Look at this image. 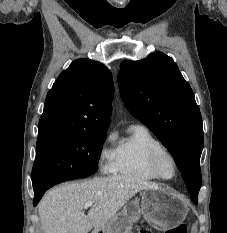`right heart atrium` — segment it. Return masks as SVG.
<instances>
[{
    "mask_svg": "<svg viewBox=\"0 0 227 233\" xmlns=\"http://www.w3.org/2000/svg\"><path fill=\"white\" fill-rule=\"evenodd\" d=\"M114 138V133H107L98 150V164L103 173H109L113 170L115 149L112 147V143Z\"/></svg>",
    "mask_w": 227,
    "mask_h": 233,
    "instance_id": "right-heart-atrium-1",
    "label": "right heart atrium"
}]
</instances>
